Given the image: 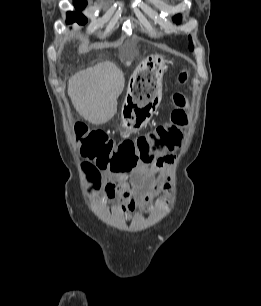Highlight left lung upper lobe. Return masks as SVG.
I'll return each instance as SVG.
<instances>
[{
	"instance_id": "obj_1",
	"label": "left lung upper lobe",
	"mask_w": 261,
	"mask_h": 306,
	"mask_svg": "<svg viewBox=\"0 0 261 306\" xmlns=\"http://www.w3.org/2000/svg\"><path fill=\"white\" fill-rule=\"evenodd\" d=\"M180 15H176L175 17H174V20L176 21V22H178V21H180ZM189 39L191 40V37L189 36ZM189 48H190V50H193V45H192V43H190V45H189Z\"/></svg>"
}]
</instances>
